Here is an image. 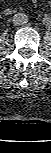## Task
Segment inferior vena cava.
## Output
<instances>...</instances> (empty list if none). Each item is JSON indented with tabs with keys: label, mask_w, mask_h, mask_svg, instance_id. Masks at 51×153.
I'll return each mask as SVG.
<instances>
[{
	"label": "inferior vena cava",
	"mask_w": 51,
	"mask_h": 153,
	"mask_svg": "<svg viewBox=\"0 0 51 153\" xmlns=\"http://www.w3.org/2000/svg\"><path fill=\"white\" fill-rule=\"evenodd\" d=\"M28 22V16L24 13H17L13 16V23L15 25H24Z\"/></svg>",
	"instance_id": "obj_1"
}]
</instances>
